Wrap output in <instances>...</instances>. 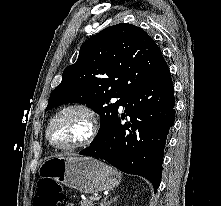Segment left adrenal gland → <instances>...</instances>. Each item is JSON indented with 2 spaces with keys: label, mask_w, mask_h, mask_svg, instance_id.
<instances>
[{
  "label": "left adrenal gland",
  "mask_w": 221,
  "mask_h": 206,
  "mask_svg": "<svg viewBox=\"0 0 221 206\" xmlns=\"http://www.w3.org/2000/svg\"><path fill=\"white\" fill-rule=\"evenodd\" d=\"M108 196H106L100 203V206H109L112 202H114L117 197L111 198L110 201H107Z\"/></svg>",
  "instance_id": "left-adrenal-gland-1"
}]
</instances>
